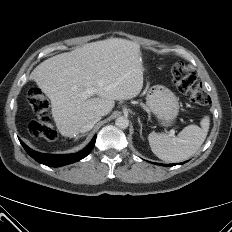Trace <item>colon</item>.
I'll list each match as a JSON object with an SVG mask.
<instances>
[{"label":"colon","instance_id":"1","mask_svg":"<svg viewBox=\"0 0 232 232\" xmlns=\"http://www.w3.org/2000/svg\"><path fill=\"white\" fill-rule=\"evenodd\" d=\"M172 82L174 86L196 104L209 103V96L204 90L202 82L183 62H175L171 67ZM27 101L32 107L37 119L28 126V134L33 138L53 141L57 133L47 115L49 101L39 88H31L27 92Z\"/></svg>","mask_w":232,"mask_h":232}]
</instances>
